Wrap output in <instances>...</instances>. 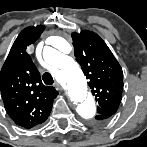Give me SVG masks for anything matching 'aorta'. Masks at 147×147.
<instances>
[{"label":"aorta","mask_w":147,"mask_h":147,"mask_svg":"<svg viewBox=\"0 0 147 147\" xmlns=\"http://www.w3.org/2000/svg\"><path fill=\"white\" fill-rule=\"evenodd\" d=\"M43 57L47 63L60 69L68 96L78 105L80 114L90 117L94 113L95 104L87 98L86 79L79 65L70 56L51 47L44 48Z\"/></svg>","instance_id":"762f6f07"}]
</instances>
